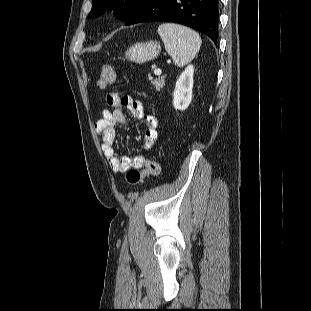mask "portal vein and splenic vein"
Listing matches in <instances>:
<instances>
[{"label":"portal vein and splenic vein","mask_w":311,"mask_h":311,"mask_svg":"<svg viewBox=\"0 0 311 311\" xmlns=\"http://www.w3.org/2000/svg\"><path fill=\"white\" fill-rule=\"evenodd\" d=\"M154 73H155V75H161L162 71H161V69H155Z\"/></svg>","instance_id":"obj_1"}]
</instances>
